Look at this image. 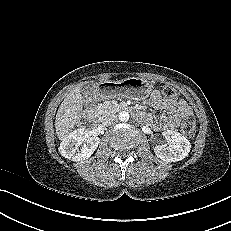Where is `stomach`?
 I'll list each match as a JSON object with an SVG mask.
<instances>
[{"label":"stomach","mask_w":231,"mask_h":231,"mask_svg":"<svg viewBox=\"0 0 231 231\" xmlns=\"http://www.w3.org/2000/svg\"><path fill=\"white\" fill-rule=\"evenodd\" d=\"M108 93L109 97H124L134 100H143L149 97L152 92L153 85L143 79L137 77H130L119 81L109 82Z\"/></svg>","instance_id":"1"}]
</instances>
